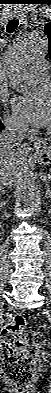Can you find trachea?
<instances>
[{
    "label": "trachea",
    "instance_id": "trachea-1",
    "mask_svg": "<svg viewBox=\"0 0 51 393\" xmlns=\"http://www.w3.org/2000/svg\"><path fill=\"white\" fill-rule=\"evenodd\" d=\"M18 24H19V21L17 19L10 20L7 24V32L13 33L15 31V29L17 28Z\"/></svg>",
    "mask_w": 51,
    "mask_h": 393
}]
</instances>
